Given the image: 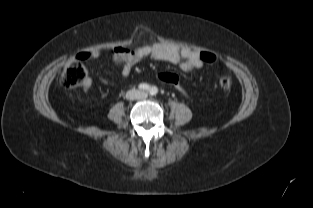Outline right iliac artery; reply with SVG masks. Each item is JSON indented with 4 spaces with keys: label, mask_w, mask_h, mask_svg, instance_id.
Listing matches in <instances>:
<instances>
[{
    "label": "right iliac artery",
    "mask_w": 313,
    "mask_h": 208,
    "mask_svg": "<svg viewBox=\"0 0 313 208\" xmlns=\"http://www.w3.org/2000/svg\"><path fill=\"white\" fill-rule=\"evenodd\" d=\"M138 88L142 91H149L150 90V86L147 83H141L139 84Z\"/></svg>",
    "instance_id": "1"
}]
</instances>
